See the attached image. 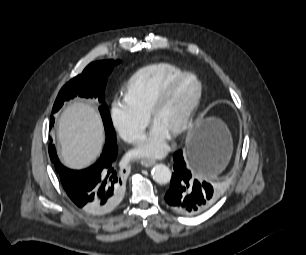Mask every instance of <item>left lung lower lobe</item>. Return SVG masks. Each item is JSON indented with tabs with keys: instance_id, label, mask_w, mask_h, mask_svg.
<instances>
[{
	"instance_id": "left-lung-lower-lobe-1",
	"label": "left lung lower lobe",
	"mask_w": 306,
	"mask_h": 255,
	"mask_svg": "<svg viewBox=\"0 0 306 255\" xmlns=\"http://www.w3.org/2000/svg\"><path fill=\"white\" fill-rule=\"evenodd\" d=\"M223 150L224 144L214 140L186 148L184 157L181 150L174 154V173L170 188L165 194V201L174 211L183 215H194L205 210L213 202L214 189L211 184L193 179L191 169L185 161H190L196 167L209 169L222 158Z\"/></svg>"
}]
</instances>
